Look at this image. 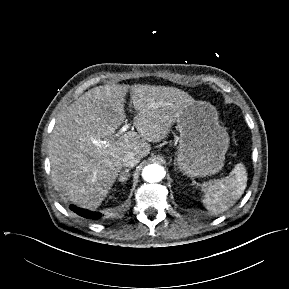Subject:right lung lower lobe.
<instances>
[{
	"mask_svg": "<svg viewBox=\"0 0 289 289\" xmlns=\"http://www.w3.org/2000/svg\"><path fill=\"white\" fill-rule=\"evenodd\" d=\"M70 209L72 211H74L76 214L82 216V217H85V218H88V219H94V220H97L101 217V214L100 213H97V212H91V211H87V210H84V209H81V208H78L74 205H71L70 206Z\"/></svg>",
	"mask_w": 289,
	"mask_h": 289,
	"instance_id": "1",
	"label": "right lung lower lobe"
}]
</instances>
